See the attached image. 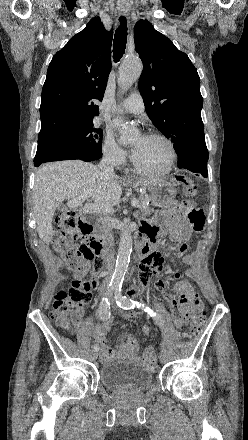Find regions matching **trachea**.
I'll list each match as a JSON object with an SVG mask.
<instances>
[{
	"label": "trachea",
	"instance_id": "3493384b",
	"mask_svg": "<svg viewBox=\"0 0 248 440\" xmlns=\"http://www.w3.org/2000/svg\"><path fill=\"white\" fill-rule=\"evenodd\" d=\"M120 26L116 29L113 43L114 62H118L123 56L127 42V20L124 16L119 18Z\"/></svg>",
	"mask_w": 248,
	"mask_h": 440
}]
</instances>
